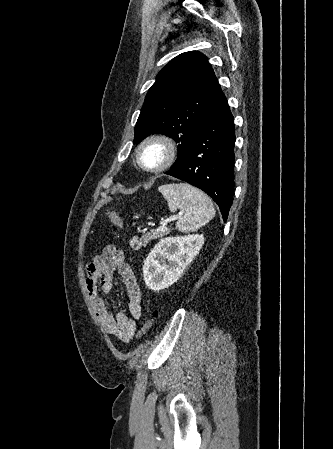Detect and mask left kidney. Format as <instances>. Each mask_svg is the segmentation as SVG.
<instances>
[{
	"label": "left kidney",
	"mask_w": 333,
	"mask_h": 449,
	"mask_svg": "<svg viewBox=\"0 0 333 449\" xmlns=\"http://www.w3.org/2000/svg\"><path fill=\"white\" fill-rule=\"evenodd\" d=\"M203 244L202 234L161 239L144 262L143 276L146 286L159 291L172 285L199 253Z\"/></svg>",
	"instance_id": "5707ae66"
}]
</instances>
